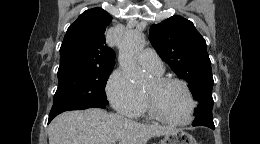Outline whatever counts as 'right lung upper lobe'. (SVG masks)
<instances>
[{
	"mask_svg": "<svg viewBox=\"0 0 260 144\" xmlns=\"http://www.w3.org/2000/svg\"><path fill=\"white\" fill-rule=\"evenodd\" d=\"M111 19L101 8L83 12L65 34L59 69L113 68L115 52L105 44L104 35Z\"/></svg>",
	"mask_w": 260,
	"mask_h": 144,
	"instance_id": "cb5924a9",
	"label": "right lung upper lobe"
}]
</instances>
